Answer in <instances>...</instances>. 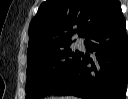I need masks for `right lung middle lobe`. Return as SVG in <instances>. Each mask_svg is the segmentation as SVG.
Masks as SVG:
<instances>
[{
	"instance_id": "dd1d6c3e",
	"label": "right lung middle lobe",
	"mask_w": 128,
	"mask_h": 99,
	"mask_svg": "<svg viewBox=\"0 0 128 99\" xmlns=\"http://www.w3.org/2000/svg\"><path fill=\"white\" fill-rule=\"evenodd\" d=\"M71 44L28 58L26 97L37 99L53 93L72 73L80 59Z\"/></svg>"
}]
</instances>
